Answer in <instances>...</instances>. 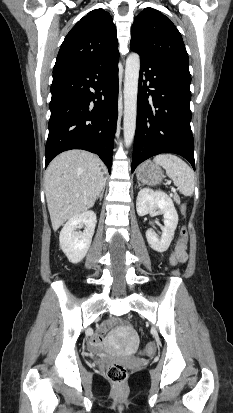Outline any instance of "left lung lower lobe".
Instances as JSON below:
<instances>
[{"label": "left lung lower lobe", "mask_w": 233, "mask_h": 413, "mask_svg": "<svg viewBox=\"0 0 233 413\" xmlns=\"http://www.w3.org/2000/svg\"><path fill=\"white\" fill-rule=\"evenodd\" d=\"M190 83L181 73L141 57L132 172L144 160L164 152L183 156L195 170Z\"/></svg>", "instance_id": "0a47b994"}]
</instances>
